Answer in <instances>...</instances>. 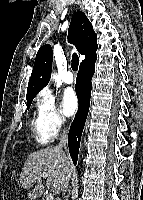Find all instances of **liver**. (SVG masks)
I'll list each match as a JSON object with an SVG mask.
<instances>
[{
	"instance_id": "6515ba94",
	"label": "liver",
	"mask_w": 143,
	"mask_h": 200,
	"mask_svg": "<svg viewBox=\"0 0 143 200\" xmlns=\"http://www.w3.org/2000/svg\"><path fill=\"white\" fill-rule=\"evenodd\" d=\"M47 172L46 188L59 194L72 175V163L66 153L57 147H47L30 153L20 173V184L30 190V200H37L44 193L43 173Z\"/></svg>"
}]
</instances>
